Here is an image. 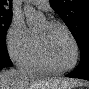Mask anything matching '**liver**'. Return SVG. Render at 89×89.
<instances>
[{"mask_svg": "<svg viewBox=\"0 0 89 89\" xmlns=\"http://www.w3.org/2000/svg\"><path fill=\"white\" fill-rule=\"evenodd\" d=\"M81 84V82L71 79H34L23 73H13L10 70L0 73L1 89H56L60 86L72 89Z\"/></svg>", "mask_w": 89, "mask_h": 89, "instance_id": "1", "label": "liver"}]
</instances>
